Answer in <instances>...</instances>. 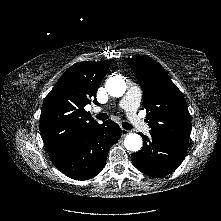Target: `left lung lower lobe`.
I'll use <instances>...</instances> for the list:
<instances>
[{
  "label": "left lung lower lobe",
  "mask_w": 221,
  "mask_h": 221,
  "mask_svg": "<svg viewBox=\"0 0 221 221\" xmlns=\"http://www.w3.org/2000/svg\"><path fill=\"white\" fill-rule=\"evenodd\" d=\"M143 138V148L132 155L134 166L152 177H163L182 163L188 143L150 133Z\"/></svg>",
  "instance_id": "obj_1"
}]
</instances>
